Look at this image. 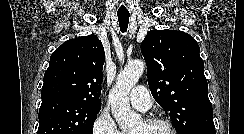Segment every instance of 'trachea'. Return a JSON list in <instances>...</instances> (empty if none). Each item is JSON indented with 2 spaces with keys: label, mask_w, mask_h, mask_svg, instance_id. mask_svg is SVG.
Wrapping results in <instances>:
<instances>
[{
  "label": "trachea",
  "mask_w": 244,
  "mask_h": 134,
  "mask_svg": "<svg viewBox=\"0 0 244 134\" xmlns=\"http://www.w3.org/2000/svg\"><path fill=\"white\" fill-rule=\"evenodd\" d=\"M121 32H126L129 24V13H117Z\"/></svg>",
  "instance_id": "trachea-1"
}]
</instances>
